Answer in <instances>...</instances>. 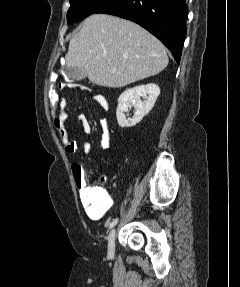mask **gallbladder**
Instances as JSON below:
<instances>
[{
    "instance_id": "gallbladder-1",
    "label": "gallbladder",
    "mask_w": 240,
    "mask_h": 287,
    "mask_svg": "<svg viewBox=\"0 0 240 287\" xmlns=\"http://www.w3.org/2000/svg\"><path fill=\"white\" fill-rule=\"evenodd\" d=\"M64 75L69 81H80L87 77V71L79 67H65Z\"/></svg>"
}]
</instances>
